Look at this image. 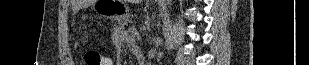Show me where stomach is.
<instances>
[{
  "label": "stomach",
  "mask_w": 309,
  "mask_h": 65,
  "mask_svg": "<svg viewBox=\"0 0 309 65\" xmlns=\"http://www.w3.org/2000/svg\"><path fill=\"white\" fill-rule=\"evenodd\" d=\"M95 10L103 17L124 25L128 7L124 0H100Z\"/></svg>",
  "instance_id": "1"
}]
</instances>
